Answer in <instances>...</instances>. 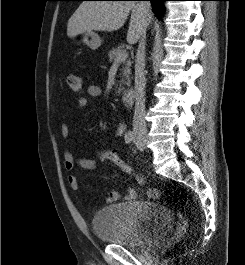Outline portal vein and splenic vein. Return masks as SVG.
I'll return each mask as SVG.
<instances>
[{"label": "portal vein and splenic vein", "instance_id": "portal-vein-and-splenic-vein-1", "mask_svg": "<svg viewBox=\"0 0 245 265\" xmlns=\"http://www.w3.org/2000/svg\"><path fill=\"white\" fill-rule=\"evenodd\" d=\"M127 56H128V53L125 50L123 53H120L118 55V57L116 58L115 62H117V63L121 62V61L125 60L127 58Z\"/></svg>", "mask_w": 245, "mask_h": 265}]
</instances>
